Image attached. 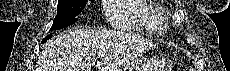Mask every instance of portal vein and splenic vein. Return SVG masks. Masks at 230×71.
I'll return each mask as SVG.
<instances>
[{
  "label": "portal vein and splenic vein",
  "instance_id": "portal-vein-and-splenic-vein-1",
  "mask_svg": "<svg viewBox=\"0 0 230 71\" xmlns=\"http://www.w3.org/2000/svg\"><path fill=\"white\" fill-rule=\"evenodd\" d=\"M103 56V53H98V57H102Z\"/></svg>",
  "mask_w": 230,
  "mask_h": 71
}]
</instances>
